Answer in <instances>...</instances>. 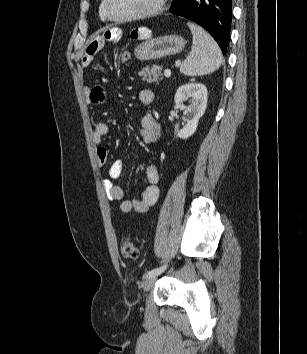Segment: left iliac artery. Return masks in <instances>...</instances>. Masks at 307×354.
<instances>
[{"instance_id":"left-iliac-artery-1","label":"left iliac artery","mask_w":307,"mask_h":354,"mask_svg":"<svg viewBox=\"0 0 307 354\" xmlns=\"http://www.w3.org/2000/svg\"><path fill=\"white\" fill-rule=\"evenodd\" d=\"M167 268V264L158 267V268H154L152 270H150L149 272H147L146 277H151V276H155V275H159L161 274L165 269Z\"/></svg>"}]
</instances>
